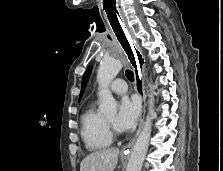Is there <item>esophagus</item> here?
<instances>
[{
    "instance_id": "34e87169",
    "label": "esophagus",
    "mask_w": 223,
    "mask_h": 171,
    "mask_svg": "<svg viewBox=\"0 0 223 171\" xmlns=\"http://www.w3.org/2000/svg\"><path fill=\"white\" fill-rule=\"evenodd\" d=\"M110 12L111 11H107L109 22L111 23L110 29L115 32L117 39L127 53V60L130 61L135 74V88L142 100L139 128L135 134V137L122 150L123 153H129L134 146L135 140L141 131L144 121L146 94L143 73L145 68V59L139 45L136 43V40L132 37V34H130V30H127L126 21H124L123 14Z\"/></svg>"
}]
</instances>
